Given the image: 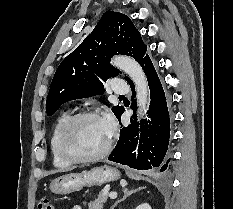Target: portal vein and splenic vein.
<instances>
[{"label": "portal vein and splenic vein", "instance_id": "1", "mask_svg": "<svg viewBox=\"0 0 233 209\" xmlns=\"http://www.w3.org/2000/svg\"><path fill=\"white\" fill-rule=\"evenodd\" d=\"M109 197H110L111 199H115V198H117V193H116V192H111V193L109 194Z\"/></svg>", "mask_w": 233, "mask_h": 209}]
</instances>
